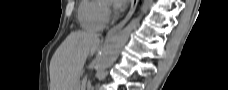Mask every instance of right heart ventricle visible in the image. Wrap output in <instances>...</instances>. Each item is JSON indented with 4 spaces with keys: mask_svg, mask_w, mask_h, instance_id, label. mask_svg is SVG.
<instances>
[{
    "mask_svg": "<svg viewBox=\"0 0 228 90\" xmlns=\"http://www.w3.org/2000/svg\"><path fill=\"white\" fill-rule=\"evenodd\" d=\"M103 1L83 0L78 10V19L81 26L87 30L99 31L105 26V21L101 17Z\"/></svg>",
    "mask_w": 228,
    "mask_h": 90,
    "instance_id": "obj_1",
    "label": "right heart ventricle"
}]
</instances>
